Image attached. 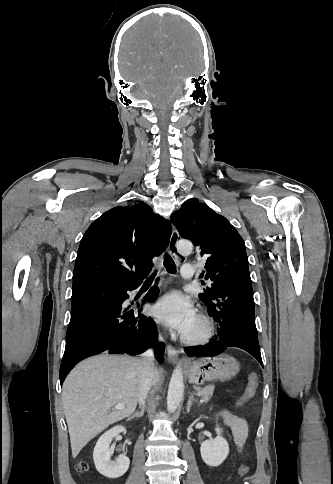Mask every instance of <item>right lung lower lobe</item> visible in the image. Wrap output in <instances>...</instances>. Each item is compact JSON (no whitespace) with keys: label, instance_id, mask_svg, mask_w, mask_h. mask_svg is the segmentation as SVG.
<instances>
[{"label":"right lung lower lobe","instance_id":"1","mask_svg":"<svg viewBox=\"0 0 333 484\" xmlns=\"http://www.w3.org/2000/svg\"><path fill=\"white\" fill-rule=\"evenodd\" d=\"M130 287L113 284H87L73 288L71 320L66 334V347L60 366V382L82 359L99 353H127L137 355L147 348L155 347L160 359L164 344H157V328L154 320L134 312L142 307L124 308ZM145 297L154 301L159 293L157 287Z\"/></svg>","mask_w":333,"mask_h":484}]
</instances>
